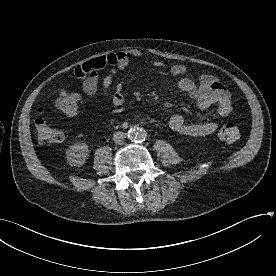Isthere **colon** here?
<instances>
[{
  "mask_svg": "<svg viewBox=\"0 0 276 276\" xmlns=\"http://www.w3.org/2000/svg\"><path fill=\"white\" fill-rule=\"evenodd\" d=\"M55 106L61 113L67 116H73L78 110V96L75 93L62 91L56 100ZM35 125L39 140L42 143L55 144L61 142L64 138L60 130L52 127L46 121L42 109L38 110ZM218 137L228 144H233L240 139V130L236 124L230 122L220 128Z\"/></svg>",
  "mask_w": 276,
  "mask_h": 276,
  "instance_id": "colon-1",
  "label": "colon"
}]
</instances>
